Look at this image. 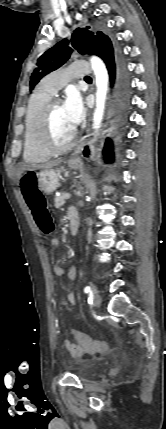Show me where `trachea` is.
<instances>
[{
  "label": "trachea",
  "instance_id": "trachea-1",
  "mask_svg": "<svg viewBox=\"0 0 166 429\" xmlns=\"http://www.w3.org/2000/svg\"><path fill=\"white\" fill-rule=\"evenodd\" d=\"M85 79H90V77H89V76H86V77H85Z\"/></svg>",
  "mask_w": 166,
  "mask_h": 429
}]
</instances>
